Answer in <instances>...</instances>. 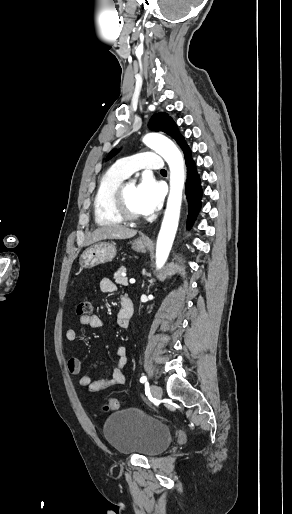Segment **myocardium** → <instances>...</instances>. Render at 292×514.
Masks as SVG:
<instances>
[{
    "instance_id": "f54148a6",
    "label": "myocardium",
    "mask_w": 292,
    "mask_h": 514,
    "mask_svg": "<svg viewBox=\"0 0 292 514\" xmlns=\"http://www.w3.org/2000/svg\"><path fill=\"white\" fill-rule=\"evenodd\" d=\"M127 183H121L111 193L110 196V207L111 210L122 220L126 222H138L145 216L142 214L131 213L126 207L124 201V191Z\"/></svg>"
}]
</instances>
